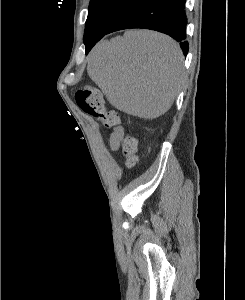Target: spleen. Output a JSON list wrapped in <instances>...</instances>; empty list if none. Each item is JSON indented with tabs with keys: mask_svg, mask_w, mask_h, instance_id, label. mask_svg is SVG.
<instances>
[{
	"mask_svg": "<svg viewBox=\"0 0 245 300\" xmlns=\"http://www.w3.org/2000/svg\"><path fill=\"white\" fill-rule=\"evenodd\" d=\"M87 72L115 108L156 118L174 102L183 78V55L165 35L127 31L93 50Z\"/></svg>",
	"mask_w": 245,
	"mask_h": 300,
	"instance_id": "1",
	"label": "spleen"
}]
</instances>
